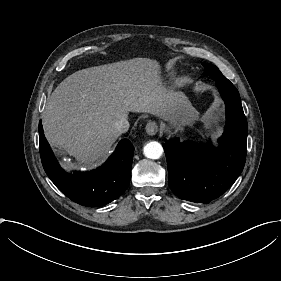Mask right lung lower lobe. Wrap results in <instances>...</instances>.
Listing matches in <instances>:
<instances>
[{"instance_id": "right-lung-lower-lobe-1", "label": "right lung lower lobe", "mask_w": 281, "mask_h": 281, "mask_svg": "<svg viewBox=\"0 0 281 281\" xmlns=\"http://www.w3.org/2000/svg\"><path fill=\"white\" fill-rule=\"evenodd\" d=\"M40 155L43 168L56 185L72 201L88 207L104 206L118 199L131 179L134 147L121 140L115 152L100 168L91 172L66 173L58 164L39 122Z\"/></svg>"}]
</instances>
